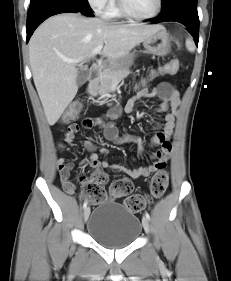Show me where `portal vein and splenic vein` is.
<instances>
[{
    "label": "portal vein and splenic vein",
    "mask_w": 231,
    "mask_h": 281,
    "mask_svg": "<svg viewBox=\"0 0 231 281\" xmlns=\"http://www.w3.org/2000/svg\"><path fill=\"white\" fill-rule=\"evenodd\" d=\"M102 48H103V44L97 46L95 49H93V50L91 51L90 55L99 54V53L101 52ZM83 59H84V57H80V58H78V59H69V60H66V61L69 62V63H79V62H81Z\"/></svg>",
    "instance_id": "1"
}]
</instances>
